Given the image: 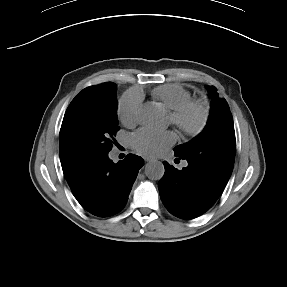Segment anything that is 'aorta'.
<instances>
[{
  "label": "aorta",
  "mask_w": 287,
  "mask_h": 287,
  "mask_svg": "<svg viewBox=\"0 0 287 287\" xmlns=\"http://www.w3.org/2000/svg\"><path fill=\"white\" fill-rule=\"evenodd\" d=\"M165 173V168L162 162L154 161L145 166V174L151 180H160Z\"/></svg>",
  "instance_id": "1"
}]
</instances>
